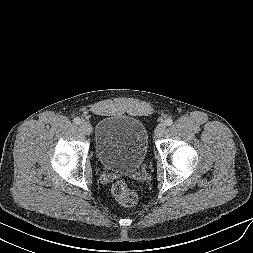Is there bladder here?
<instances>
[{
    "mask_svg": "<svg viewBox=\"0 0 253 253\" xmlns=\"http://www.w3.org/2000/svg\"><path fill=\"white\" fill-rule=\"evenodd\" d=\"M149 136L145 125L126 115H108L95 128V155L102 167L111 171L132 172L148 153Z\"/></svg>",
    "mask_w": 253,
    "mask_h": 253,
    "instance_id": "1",
    "label": "bladder"
}]
</instances>
